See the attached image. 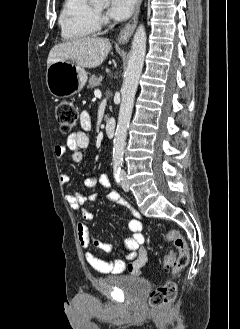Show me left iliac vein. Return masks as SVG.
I'll use <instances>...</instances> for the list:
<instances>
[{
  "label": "left iliac vein",
  "instance_id": "1",
  "mask_svg": "<svg viewBox=\"0 0 240 329\" xmlns=\"http://www.w3.org/2000/svg\"><path fill=\"white\" fill-rule=\"evenodd\" d=\"M120 177H121V185H122L123 190L128 191L129 186H128V183H127L126 174L124 172H122Z\"/></svg>",
  "mask_w": 240,
  "mask_h": 329
}]
</instances>
